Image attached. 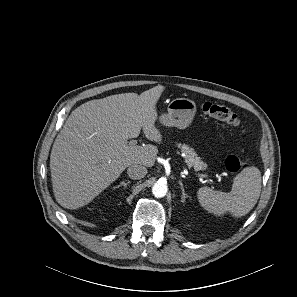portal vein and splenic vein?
<instances>
[{
    "instance_id": "portal-vein-and-splenic-vein-1",
    "label": "portal vein and splenic vein",
    "mask_w": 297,
    "mask_h": 297,
    "mask_svg": "<svg viewBox=\"0 0 297 297\" xmlns=\"http://www.w3.org/2000/svg\"><path fill=\"white\" fill-rule=\"evenodd\" d=\"M136 143H137L136 140H132V141L129 142V144H130L131 146H134ZM198 176L201 177V178H209V177H210V176H209L208 174H206V173H199Z\"/></svg>"
}]
</instances>
